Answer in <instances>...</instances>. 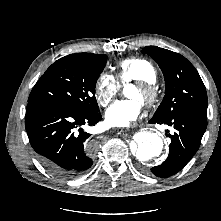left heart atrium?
<instances>
[{
  "label": "left heart atrium",
  "instance_id": "39dd6f15",
  "mask_svg": "<svg viewBox=\"0 0 221 221\" xmlns=\"http://www.w3.org/2000/svg\"><path fill=\"white\" fill-rule=\"evenodd\" d=\"M141 102L128 98L115 101L105 112V121L109 126L127 127L136 120L141 112Z\"/></svg>",
  "mask_w": 221,
  "mask_h": 221
}]
</instances>
